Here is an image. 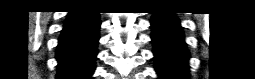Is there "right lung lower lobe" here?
I'll return each mask as SVG.
<instances>
[{"label":"right lung lower lobe","instance_id":"1","mask_svg":"<svg viewBox=\"0 0 255 79\" xmlns=\"http://www.w3.org/2000/svg\"><path fill=\"white\" fill-rule=\"evenodd\" d=\"M100 24L95 11L69 13L56 52L57 79H91L95 69Z\"/></svg>","mask_w":255,"mask_h":79}]
</instances>
